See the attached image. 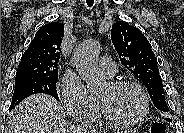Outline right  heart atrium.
<instances>
[{
  "mask_svg": "<svg viewBox=\"0 0 184 133\" xmlns=\"http://www.w3.org/2000/svg\"><path fill=\"white\" fill-rule=\"evenodd\" d=\"M61 95L67 114L75 120L90 122L99 113L96 98L89 93L81 81L74 76L64 79Z\"/></svg>",
  "mask_w": 184,
  "mask_h": 133,
  "instance_id": "1",
  "label": "right heart atrium"
}]
</instances>
